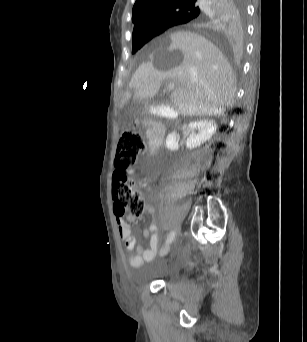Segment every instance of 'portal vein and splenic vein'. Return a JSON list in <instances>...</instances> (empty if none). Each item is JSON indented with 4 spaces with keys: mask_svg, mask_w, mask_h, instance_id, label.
<instances>
[{
    "mask_svg": "<svg viewBox=\"0 0 307 342\" xmlns=\"http://www.w3.org/2000/svg\"><path fill=\"white\" fill-rule=\"evenodd\" d=\"M169 88H175V82H171V84H169Z\"/></svg>",
    "mask_w": 307,
    "mask_h": 342,
    "instance_id": "obj_1",
    "label": "portal vein and splenic vein"
}]
</instances>
